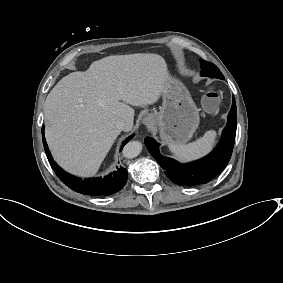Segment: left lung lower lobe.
Segmentation results:
<instances>
[{"mask_svg":"<svg viewBox=\"0 0 283 283\" xmlns=\"http://www.w3.org/2000/svg\"><path fill=\"white\" fill-rule=\"evenodd\" d=\"M236 125L237 111L235 99L233 98L232 108L228 114V122L223 130L222 139L210 154L191 163L181 164L171 158L162 156L159 152V144L151 137L145 138V145L173 183L181 186L205 184L216 177L228 164L234 147Z\"/></svg>","mask_w":283,"mask_h":283,"instance_id":"1","label":"left lung lower lobe"}]
</instances>
